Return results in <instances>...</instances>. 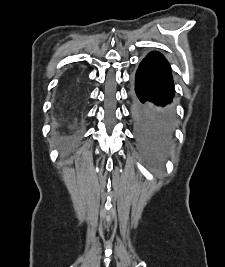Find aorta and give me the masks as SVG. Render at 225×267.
Masks as SVG:
<instances>
[{
  "mask_svg": "<svg viewBox=\"0 0 225 267\" xmlns=\"http://www.w3.org/2000/svg\"><path fill=\"white\" fill-rule=\"evenodd\" d=\"M131 115L133 119H136V104H133L131 107Z\"/></svg>",
  "mask_w": 225,
  "mask_h": 267,
  "instance_id": "obj_1",
  "label": "aorta"
}]
</instances>
